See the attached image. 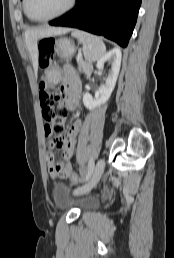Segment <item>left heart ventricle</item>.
<instances>
[{"label":"left heart ventricle","instance_id":"1","mask_svg":"<svg viewBox=\"0 0 174 258\" xmlns=\"http://www.w3.org/2000/svg\"><path fill=\"white\" fill-rule=\"evenodd\" d=\"M69 0H29L28 10L35 18H45L64 9Z\"/></svg>","mask_w":174,"mask_h":258}]
</instances>
